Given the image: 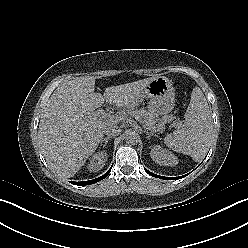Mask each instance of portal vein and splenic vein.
Returning a JSON list of instances; mask_svg holds the SVG:
<instances>
[{
  "instance_id": "18ae733b",
  "label": "portal vein and splenic vein",
  "mask_w": 248,
  "mask_h": 248,
  "mask_svg": "<svg viewBox=\"0 0 248 248\" xmlns=\"http://www.w3.org/2000/svg\"><path fill=\"white\" fill-rule=\"evenodd\" d=\"M102 116L104 117V118H106V117H109V118H111V117H113L112 115H107L106 113H102ZM135 119H137L140 123H144L139 117H135ZM176 126L177 127H179V124H176ZM154 130V129H153Z\"/></svg>"
}]
</instances>
